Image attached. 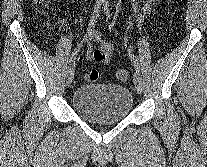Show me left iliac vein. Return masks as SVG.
<instances>
[{
    "label": "left iliac vein",
    "mask_w": 207,
    "mask_h": 167,
    "mask_svg": "<svg viewBox=\"0 0 207 167\" xmlns=\"http://www.w3.org/2000/svg\"><path fill=\"white\" fill-rule=\"evenodd\" d=\"M133 80H134V84H135V87H136L138 93H141L142 88H143V82H142V77L137 70L134 73Z\"/></svg>",
    "instance_id": "obj_1"
}]
</instances>
